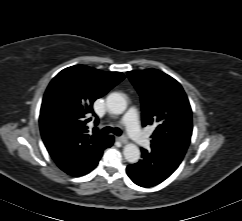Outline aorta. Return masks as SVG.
Returning <instances> with one entry per match:
<instances>
[{
  "instance_id": "1",
  "label": "aorta",
  "mask_w": 242,
  "mask_h": 221,
  "mask_svg": "<svg viewBox=\"0 0 242 221\" xmlns=\"http://www.w3.org/2000/svg\"><path fill=\"white\" fill-rule=\"evenodd\" d=\"M106 104L112 114H122L127 108V101L120 93H111L107 96ZM123 154L129 163H136L140 159V150L137 145L128 143L124 146Z\"/></svg>"
}]
</instances>
